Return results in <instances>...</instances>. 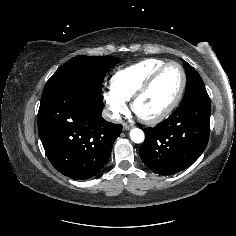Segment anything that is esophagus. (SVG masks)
Instances as JSON below:
<instances>
[{"mask_svg": "<svg viewBox=\"0 0 236 236\" xmlns=\"http://www.w3.org/2000/svg\"><path fill=\"white\" fill-rule=\"evenodd\" d=\"M131 128H132V125L127 124V123H124V124H123V129H124V130H130Z\"/></svg>", "mask_w": 236, "mask_h": 236, "instance_id": "1", "label": "esophagus"}]
</instances>
